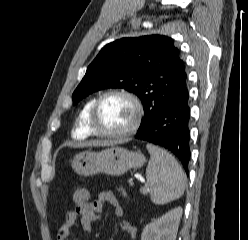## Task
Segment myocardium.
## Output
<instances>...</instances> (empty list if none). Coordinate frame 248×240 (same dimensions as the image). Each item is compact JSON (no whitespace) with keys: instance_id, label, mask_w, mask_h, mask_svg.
<instances>
[{"instance_id":"1","label":"myocardium","mask_w":248,"mask_h":240,"mask_svg":"<svg viewBox=\"0 0 248 240\" xmlns=\"http://www.w3.org/2000/svg\"><path fill=\"white\" fill-rule=\"evenodd\" d=\"M111 96L124 97L132 104L133 109H134V118H133L131 125L123 131L114 132V133L103 132L99 130L97 126V116H98L99 108L102 102L106 98L111 97ZM143 116H144L143 105L140 99L134 93L124 90V89H114V90H109V91L104 92L96 99L92 107V110H91L89 124L92 130V133L94 135L104 137V138H122V137H127L129 135L134 134L139 129Z\"/></svg>"}]
</instances>
